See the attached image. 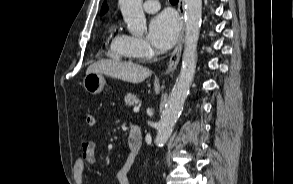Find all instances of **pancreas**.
<instances>
[{"mask_svg":"<svg viewBox=\"0 0 293 184\" xmlns=\"http://www.w3.org/2000/svg\"><path fill=\"white\" fill-rule=\"evenodd\" d=\"M138 103H139V99L137 98L136 95H134L132 93H128L125 96V104H126V106L131 107V106H134V105H136Z\"/></svg>","mask_w":293,"mask_h":184,"instance_id":"pancreas-1","label":"pancreas"}]
</instances>
